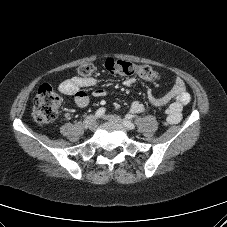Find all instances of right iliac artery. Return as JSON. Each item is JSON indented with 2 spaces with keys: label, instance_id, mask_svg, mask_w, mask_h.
I'll return each instance as SVG.
<instances>
[{
  "label": "right iliac artery",
  "instance_id": "right-iliac-artery-1",
  "mask_svg": "<svg viewBox=\"0 0 227 227\" xmlns=\"http://www.w3.org/2000/svg\"><path fill=\"white\" fill-rule=\"evenodd\" d=\"M105 108L104 107H101V108H99L97 111H96V113H95V117L96 118H100L104 113H105Z\"/></svg>",
  "mask_w": 227,
  "mask_h": 227
}]
</instances>
